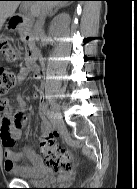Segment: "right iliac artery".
I'll list each match as a JSON object with an SVG mask.
<instances>
[{
  "label": "right iliac artery",
  "instance_id": "82829eb1",
  "mask_svg": "<svg viewBox=\"0 0 137 189\" xmlns=\"http://www.w3.org/2000/svg\"><path fill=\"white\" fill-rule=\"evenodd\" d=\"M40 115L44 118H48L49 122H52L53 114L49 110H47L45 107H42L40 109Z\"/></svg>",
  "mask_w": 137,
  "mask_h": 189
}]
</instances>
